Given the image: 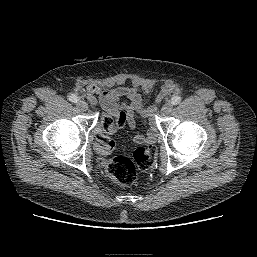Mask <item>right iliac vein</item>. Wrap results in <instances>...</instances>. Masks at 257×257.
<instances>
[{"label":"right iliac vein","mask_w":257,"mask_h":257,"mask_svg":"<svg viewBox=\"0 0 257 257\" xmlns=\"http://www.w3.org/2000/svg\"><path fill=\"white\" fill-rule=\"evenodd\" d=\"M77 107H78L81 111H87V110H88V104H87L85 101H83V100L78 101Z\"/></svg>","instance_id":"obj_1"}]
</instances>
